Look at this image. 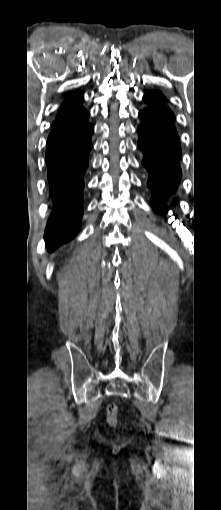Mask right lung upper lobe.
<instances>
[{
  "label": "right lung upper lobe",
  "mask_w": 221,
  "mask_h": 510,
  "mask_svg": "<svg viewBox=\"0 0 221 510\" xmlns=\"http://www.w3.org/2000/svg\"><path fill=\"white\" fill-rule=\"evenodd\" d=\"M82 96L70 95L62 104L50 135H60L81 126L88 120L89 113L82 106Z\"/></svg>",
  "instance_id": "cb5924a9"
}]
</instances>
